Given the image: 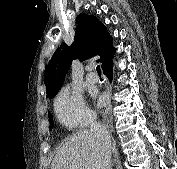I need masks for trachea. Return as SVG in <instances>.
<instances>
[{"instance_id":"trachea-1","label":"trachea","mask_w":177,"mask_h":169,"mask_svg":"<svg viewBox=\"0 0 177 169\" xmlns=\"http://www.w3.org/2000/svg\"><path fill=\"white\" fill-rule=\"evenodd\" d=\"M96 71H97L98 73H101V68H100L99 65L96 67Z\"/></svg>"}]
</instances>
